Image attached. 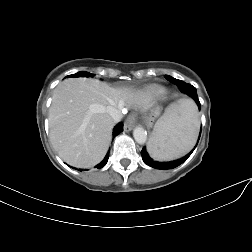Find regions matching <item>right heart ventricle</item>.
Listing matches in <instances>:
<instances>
[{
    "mask_svg": "<svg viewBox=\"0 0 252 252\" xmlns=\"http://www.w3.org/2000/svg\"><path fill=\"white\" fill-rule=\"evenodd\" d=\"M165 91L158 87H150L144 91L142 98L145 100H152L155 98L162 97Z\"/></svg>",
    "mask_w": 252,
    "mask_h": 252,
    "instance_id": "right-heart-ventricle-1",
    "label": "right heart ventricle"
}]
</instances>
